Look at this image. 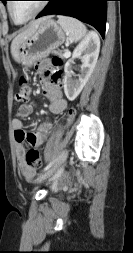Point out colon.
Segmentation results:
<instances>
[{"mask_svg": "<svg viewBox=\"0 0 133 253\" xmlns=\"http://www.w3.org/2000/svg\"><path fill=\"white\" fill-rule=\"evenodd\" d=\"M53 65L55 69H59L62 66V60L60 58H54L53 59ZM29 96H30V87L27 84V81L25 78L20 79V86L19 90L15 96V100L17 103H20L21 105L28 104L29 102ZM75 109L71 108L68 110L67 116L68 120H66V125H75ZM26 160L29 166L34 168L35 170H38L41 168L42 161L40 158V153L38 150L33 149L30 150L27 153Z\"/></svg>", "mask_w": 133, "mask_h": 253, "instance_id": "5ec220e1", "label": "colon"}]
</instances>
